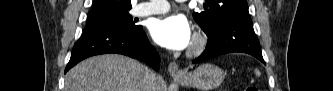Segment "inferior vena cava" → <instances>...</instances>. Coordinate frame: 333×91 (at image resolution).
<instances>
[{
  "label": "inferior vena cava",
  "mask_w": 333,
  "mask_h": 91,
  "mask_svg": "<svg viewBox=\"0 0 333 91\" xmlns=\"http://www.w3.org/2000/svg\"><path fill=\"white\" fill-rule=\"evenodd\" d=\"M156 79L155 74L152 71L147 70L144 79V91H154Z\"/></svg>",
  "instance_id": "602c4592"
}]
</instances>
